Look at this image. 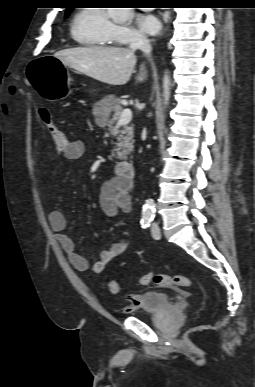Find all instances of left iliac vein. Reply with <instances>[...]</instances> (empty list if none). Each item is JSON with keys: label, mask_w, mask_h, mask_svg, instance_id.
Listing matches in <instances>:
<instances>
[{"label": "left iliac vein", "mask_w": 255, "mask_h": 387, "mask_svg": "<svg viewBox=\"0 0 255 387\" xmlns=\"http://www.w3.org/2000/svg\"><path fill=\"white\" fill-rule=\"evenodd\" d=\"M151 234L154 239H160L161 237L160 228L156 223H153L151 226Z\"/></svg>", "instance_id": "4c4485c4"}]
</instances>
